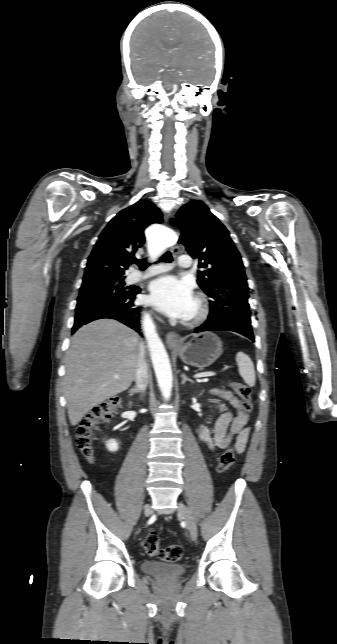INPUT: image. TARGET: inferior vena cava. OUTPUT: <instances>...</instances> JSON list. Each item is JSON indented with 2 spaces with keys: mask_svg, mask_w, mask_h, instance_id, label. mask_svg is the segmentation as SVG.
Listing matches in <instances>:
<instances>
[{
  "mask_svg": "<svg viewBox=\"0 0 337 644\" xmlns=\"http://www.w3.org/2000/svg\"><path fill=\"white\" fill-rule=\"evenodd\" d=\"M135 381L137 388L144 392L148 385V366L145 360V348L142 345L141 352L138 357L137 368L135 372Z\"/></svg>",
  "mask_w": 337,
  "mask_h": 644,
  "instance_id": "inferior-vena-cava-1",
  "label": "inferior vena cava"
}]
</instances>
